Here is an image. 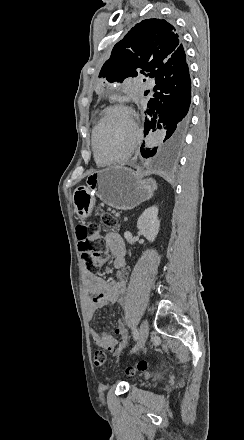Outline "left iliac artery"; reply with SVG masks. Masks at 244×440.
Returning a JSON list of instances; mask_svg holds the SVG:
<instances>
[{"instance_id": "obj_1", "label": "left iliac artery", "mask_w": 244, "mask_h": 440, "mask_svg": "<svg viewBox=\"0 0 244 440\" xmlns=\"http://www.w3.org/2000/svg\"><path fill=\"white\" fill-rule=\"evenodd\" d=\"M125 322L127 323L126 319H125ZM132 333H133L134 340H137V338H138V331H137V329L135 327H132Z\"/></svg>"}]
</instances>
